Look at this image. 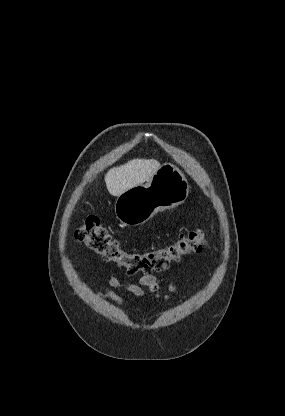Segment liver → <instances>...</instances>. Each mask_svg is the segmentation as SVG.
I'll return each instance as SVG.
<instances>
[{
    "instance_id": "1",
    "label": "liver",
    "mask_w": 285,
    "mask_h": 416,
    "mask_svg": "<svg viewBox=\"0 0 285 416\" xmlns=\"http://www.w3.org/2000/svg\"><path fill=\"white\" fill-rule=\"evenodd\" d=\"M159 168L157 160H130L124 166L111 168L107 172L104 178L106 188L111 196H121L130 188L149 182Z\"/></svg>"
}]
</instances>
